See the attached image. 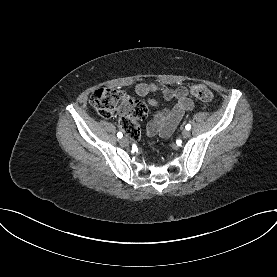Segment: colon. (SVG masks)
<instances>
[{
	"label": "colon",
	"instance_id": "obj_1",
	"mask_svg": "<svg viewBox=\"0 0 277 277\" xmlns=\"http://www.w3.org/2000/svg\"><path fill=\"white\" fill-rule=\"evenodd\" d=\"M190 93L201 101H209L212 98L211 91L203 84L191 86ZM89 101L99 115L105 118L120 111L121 127L131 138L139 133L138 120L147 115V107L143 102L130 98L123 91L114 88L95 90Z\"/></svg>",
	"mask_w": 277,
	"mask_h": 277
}]
</instances>
